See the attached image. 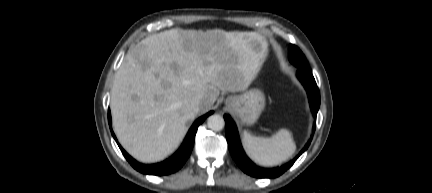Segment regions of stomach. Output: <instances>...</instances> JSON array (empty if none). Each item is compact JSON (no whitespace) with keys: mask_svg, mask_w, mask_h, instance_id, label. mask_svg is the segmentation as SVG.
<instances>
[{"mask_svg":"<svg viewBox=\"0 0 432 193\" xmlns=\"http://www.w3.org/2000/svg\"><path fill=\"white\" fill-rule=\"evenodd\" d=\"M226 105L238 116L242 124L252 125L265 107V96L259 89H251L240 95L229 96Z\"/></svg>","mask_w":432,"mask_h":193,"instance_id":"1","label":"stomach"}]
</instances>
